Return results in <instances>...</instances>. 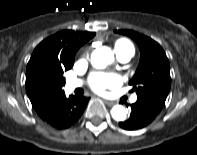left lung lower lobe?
<instances>
[{"label":"left lung lower lobe","mask_w":197,"mask_h":155,"mask_svg":"<svg viewBox=\"0 0 197 155\" xmlns=\"http://www.w3.org/2000/svg\"><path fill=\"white\" fill-rule=\"evenodd\" d=\"M131 108L130 118L124 122H119L120 127L126 130H136L147 126L160 112L159 109L140 100L132 104Z\"/></svg>","instance_id":"1"}]
</instances>
